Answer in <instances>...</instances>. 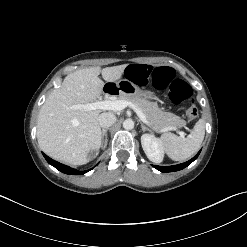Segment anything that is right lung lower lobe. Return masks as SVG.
<instances>
[{"label": "right lung lower lobe", "mask_w": 247, "mask_h": 247, "mask_svg": "<svg viewBox=\"0 0 247 247\" xmlns=\"http://www.w3.org/2000/svg\"><path fill=\"white\" fill-rule=\"evenodd\" d=\"M43 156L45 157V159L47 160V162L49 164H51L52 166H54L56 169H58L59 171L65 173V174H70V175H82L85 174L87 171H78L76 169L70 168L64 164H61L57 161H54L53 159L49 158L47 155H45L43 153Z\"/></svg>", "instance_id": "98d812e1"}]
</instances>
